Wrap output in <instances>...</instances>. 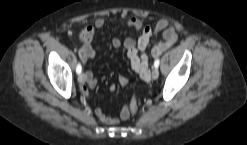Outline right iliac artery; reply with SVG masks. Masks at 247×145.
I'll use <instances>...</instances> for the list:
<instances>
[{
	"label": "right iliac artery",
	"instance_id": "right-iliac-artery-1",
	"mask_svg": "<svg viewBox=\"0 0 247 145\" xmlns=\"http://www.w3.org/2000/svg\"><path fill=\"white\" fill-rule=\"evenodd\" d=\"M81 71H82V66H81L80 63H78V65H77V67H76V72H77V74H80Z\"/></svg>",
	"mask_w": 247,
	"mask_h": 145
}]
</instances>
